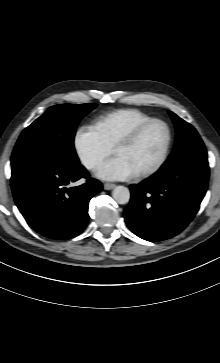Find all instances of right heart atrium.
<instances>
[{"label": "right heart atrium", "instance_id": "1", "mask_svg": "<svg viewBox=\"0 0 220 363\" xmlns=\"http://www.w3.org/2000/svg\"><path fill=\"white\" fill-rule=\"evenodd\" d=\"M73 146L77 158L89 170L95 169L112 151L97 129L90 125H81L76 129Z\"/></svg>", "mask_w": 220, "mask_h": 363}]
</instances>
